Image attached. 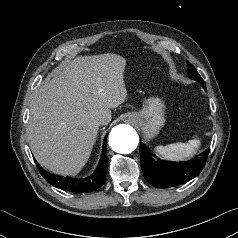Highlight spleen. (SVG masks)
Returning a JSON list of instances; mask_svg holds the SVG:
<instances>
[{
    "instance_id": "obj_1",
    "label": "spleen",
    "mask_w": 238,
    "mask_h": 238,
    "mask_svg": "<svg viewBox=\"0 0 238 238\" xmlns=\"http://www.w3.org/2000/svg\"><path fill=\"white\" fill-rule=\"evenodd\" d=\"M199 147V139H192L187 143H172L166 146L159 145L155 148V151L165 159L185 160L192 157Z\"/></svg>"
}]
</instances>
